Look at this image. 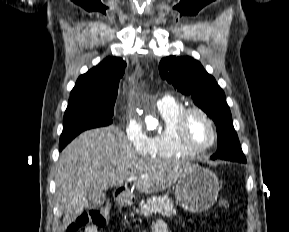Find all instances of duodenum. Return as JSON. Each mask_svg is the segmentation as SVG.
Returning a JSON list of instances; mask_svg holds the SVG:
<instances>
[{"label":"duodenum","mask_w":289,"mask_h":232,"mask_svg":"<svg viewBox=\"0 0 289 232\" xmlns=\"http://www.w3.org/2000/svg\"><path fill=\"white\" fill-rule=\"evenodd\" d=\"M115 201L119 206H125L130 203L131 198L126 190L118 189L115 192Z\"/></svg>","instance_id":"1"}]
</instances>
